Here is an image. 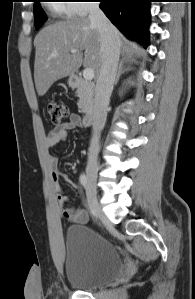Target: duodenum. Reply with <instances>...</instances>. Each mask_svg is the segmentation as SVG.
I'll list each match as a JSON object with an SVG mask.
<instances>
[{"instance_id":"1","label":"duodenum","mask_w":195,"mask_h":299,"mask_svg":"<svg viewBox=\"0 0 195 299\" xmlns=\"http://www.w3.org/2000/svg\"><path fill=\"white\" fill-rule=\"evenodd\" d=\"M71 85L74 88L82 89L86 92H93L95 87L92 84L86 83L81 77L74 75L71 77ZM98 115V108L95 106H90L86 112L81 117V122L84 126L92 125Z\"/></svg>"}]
</instances>
